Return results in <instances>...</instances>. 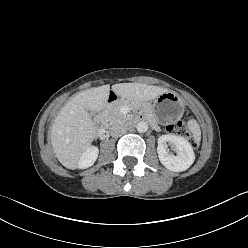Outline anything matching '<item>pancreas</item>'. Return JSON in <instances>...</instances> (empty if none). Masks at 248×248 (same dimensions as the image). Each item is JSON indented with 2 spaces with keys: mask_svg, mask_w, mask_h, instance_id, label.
<instances>
[{
  "mask_svg": "<svg viewBox=\"0 0 248 248\" xmlns=\"http://www.w3.org/2000/svg\"><path fill=\"white\" fill-rule=\"evenodd\" d=\"M129 103L127 101H121L120 103L111 106L108 108L106 111V121L109 122L110 124L115 123V122H124L127 120V116L120 113V108L123 106H127ZM146 112L149 113L147 110Z\"/></svg>",
  "mask_w": 248,
  "mask_h": 248,
  "instance_id": "pancreas-1",
  "label": "pancreas"
}]
</instances>
